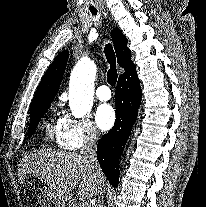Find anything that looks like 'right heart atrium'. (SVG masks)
<instances>
[{"instance_id": "1", "label": "right heart atrium", "mask_w": 206, "mask_h": 207, "mask_svg": "<svg viewBox=\"0 0 206 207\" xmlns=\"http://www.w3.org/2000/svg\"><path fill=\"white\" fill-rule=\"evenodd\" d=\"M99 132L88 119L65 115L60 120V145L69 150L90 148L99 141Z\"/></svg>"}]
</instances>
